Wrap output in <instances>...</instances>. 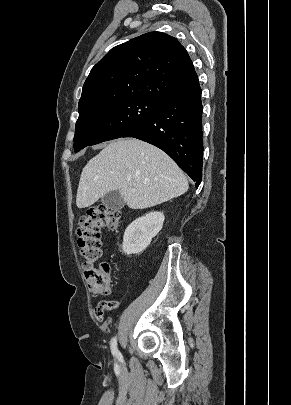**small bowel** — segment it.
Wrapping results in <instances>:
<instances>
[{
  "label": "small bowel",
  "instance_id": "1",
  "mask_svg": "<svg viewBox=\"0 0 291 405\" xmlns=\"http://www.w3.org/2000/svg\"><path fill=\"white\" fill-rule=\"evenodd\" d=\"M118 304L115 301H105L98 304L95 308L94 315L98 321L103 319L104 311L105 310H115Z\"/></svg>",
  "mask_w": 291,
  "mask_h": 405
}]
</instances>
